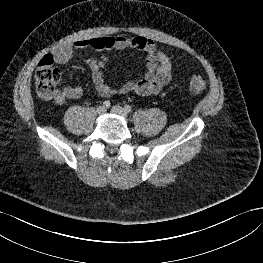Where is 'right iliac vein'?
<instances>
[{
	"label": "right iliac vein",
	"mask_w": 263,
	"mask_h": 263,
	"mask_svg": "<svg viewBox=\"0 0 263 263\" xmlns=\"http://www.w3.org/2000/svg\"><path fill=\"white\" fill-rule=\"evenodd\" d=\"M105 112H106V108L104 107V106H99L98 108H97V114L98 115H104L105 114Z\"/></svg>",
	"instance_id": "right-iliac-vein-1"
}]
</instances>
